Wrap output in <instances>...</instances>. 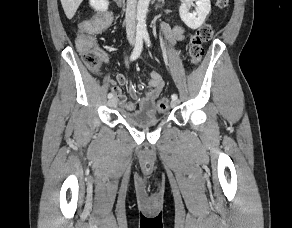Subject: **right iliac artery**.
<instances>
[{
    "label": "right iliac artery",
    "mask_w": 292,
    "mask_h": 228,
    "mask_svg": "<svg viewBox=\"0 0 292 228\" xmlns=\"http://www.w3.org/2000/svg\"><path fill=\"white\" fill-rule=\"evenodd\" d=\"M142 48H143V36L138 34L136 36V42H135L134 50H133V52L131 54V57H130L131 61L136 60L140 56V54L142 52ZM112 97H113V94L109 93L108 94V98L111 99Z\"/></svg>",
    "instance_id": "obj_1"
}]
</instances>
